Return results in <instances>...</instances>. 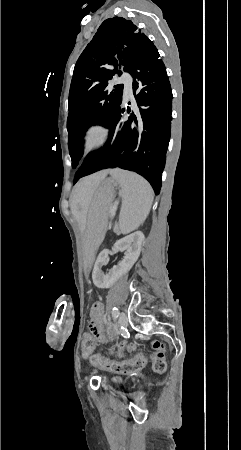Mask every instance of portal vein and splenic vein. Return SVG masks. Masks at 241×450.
<instances>
[{
	"label": "portal vein and splenic vein",
	"instance_id": "portal-vein-and-splenic-vein-1",
	"mask_svg": "<svg viewBox=\"0 0 241 450\" xmlns=\"http://www.w3.org/2000/svg\"><path fill=\"white\" fill-rule=\"evenodd\" d=\"M117 206H118V203L117 202H114L113 204H111V208H110V213H116V209H117Z\"/></svg>",
	"mask_w": 241,
	"mask_h": 450
}]
</instances>
